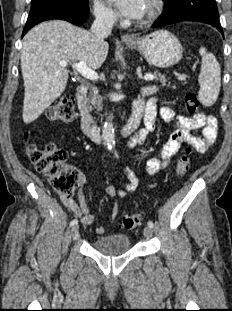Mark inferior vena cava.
Returning a JSON list of instances; mask_svg holds the SVG:
<instances>
[{
	"instance_id": "obj_1",
	"label": "inferior vena cava",
	"mask_w": 232,
	"mask_h": 311,
	"mask_svg": "<svg viewBox=\"0 0 232 311\" xmlns=\"http://www.w3.org/2000/svg\"><path fill=\"white\" fill-rule=\"evenodd\" d=\"M115 20L116 17L114 14L98 13L91 27L92 34L101 40L108 37L111 34Z\"/></svg>"
}]
</instances>
